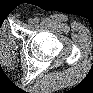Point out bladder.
<instances>
[{
	"mask_svg": "<svg viewBox=\"0 0 93 93\" xmlns=\"http://www.w3.org/2000/svg\"><path fill=\"white\" fill-rule=\"evenodd\" d=\"M0 35H1V43L3 45H9V44H12L14 42V38L12 36V33L7 28H4L0 32Z\"/></svg>",
	"mask_w": 93,
	"mask_h": 93,
	"instance_id": "1",
	"label": "bladder"
}]
</instances>
